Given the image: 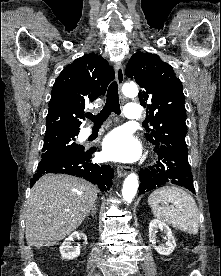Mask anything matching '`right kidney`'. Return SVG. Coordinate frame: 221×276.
I'll use <instances>...</instances> for the list:
<instances>
[{
	"label": "right kidney",
	"mask_w": 221,
	"mask_h": 276,
	"mask_svg": "<svg viewBox=\"0 0 221 276\" xmlns=\"http://www.w3.org/2000/svg\"><path fill=\"white\" fill-rule=\"evenodd\" d=\"M80 236H83L86 239V235L79 232H74L65 239L62 246H60L62 259L72 260L80 255V248L71 246V242Z\"/></svg>",
	"instance_id": "ca27d5eb"
}]
</instances>
